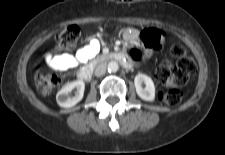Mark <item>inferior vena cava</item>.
Here are the masks:
<instances>
[{
    "instance_id": "inferior-vena-cava-1",
    "label": "inferior vena cava",
    "mask_w": 225,
    "mask_h": 155,
    "mask_svg": "<svg viewBox=\"0 0 225 155\" xmlns=\"http://www.w3.org/2000/svg\"><path fill=\"white\" fill-rule=\"evenodd\" d=\"M105 72H106V65L104 63H101L96 67L94 74L95 76L99 77L105 74Z\"/></svg>"
}]
</instances>
